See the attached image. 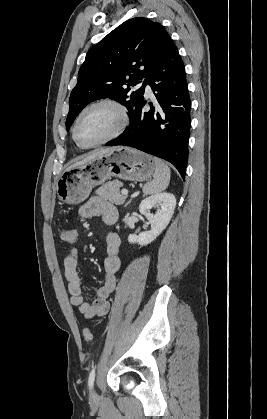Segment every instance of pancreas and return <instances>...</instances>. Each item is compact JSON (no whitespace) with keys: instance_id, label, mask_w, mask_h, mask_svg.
<instances>
[{"instance_id":"pancreas-1","label":"pancreas","mask_w":267,"mask_h":419,"mask_svg":"<svg viewBox=\"0 0 267 419\" xmlns=\"http://www.w3.org/2000/svg\"><path fill=\"white\" fill-rule=\"evenodd\" d=\"M121 183L118 180L109 181L106 184L99 187L95 194L101 198L109 200L115 205H122L126 196L120 193Z\"/></svg>"}]
</instances>
